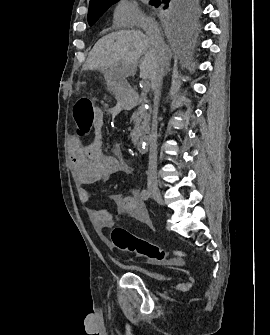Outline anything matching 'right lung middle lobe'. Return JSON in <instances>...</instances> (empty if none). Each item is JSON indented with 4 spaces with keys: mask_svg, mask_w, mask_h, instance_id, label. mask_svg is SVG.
Returning <instances> with one entry per match:
<instances>
[{
    "mask_svg": "<svg viewBox=\"0 0 270 335\" xmlns=\"http://www.w3.org/2000/svg\"><path fill=\"white\" fill-rule=\"evenodd\" d=\"M169 1L164 8L169 7ZM160 0H151L150 4L158 7L164 4ZM113 3H105L97 6H89L88 23L93 25L107 11ZM201 0H173L167 15L169 22L179 27H189L194 24L199 16Z\"/></svg>",
    "mask_w": 270,
    "mask_h": 335,
    "instance_id": "1",
    "label": "right lung middle lobe"
}]
</instances>
